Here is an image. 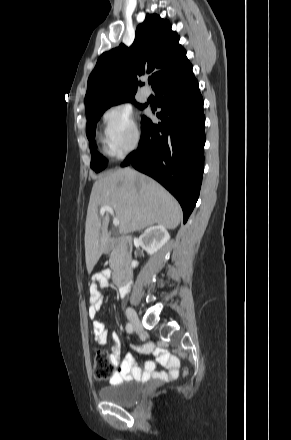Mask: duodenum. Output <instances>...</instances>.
Wrapping results in <instances>:
<instances>
[{
    "mask_svg": "<svg viewBox=\"0 0 291 440\" xmlns=\"http://www.w3.org/2000/svg\"><path fill=\"white\" fill-rule=\"evenodd\" d=\"M126 250L118 257L112 277L116 284L129 285L132 278V241L124 239Z\"/></svg>",
    "mask_w": 291,
    "mask_h": 440,
    "instance_id": "duodenum-1",
    "label": "duodenum"
}]
</instances>
